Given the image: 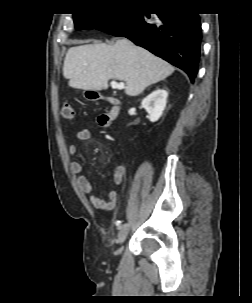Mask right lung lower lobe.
Instances as JSON below:
<instances>
[{"label": "right lung lower lobe", "instance_id": "right-lung-lower-lobe-1", "mask_svg": "<svg viewBox=\"0 0 252 303\" xmlns=\"http://www.w3.org/2000/svg\"><path fill=\"white\" fill-rule=\"evenodd\" d=\"M99 30L130 39L185 71L191 81L197 75L201 46L198 14L176 9L164 10L156 16L134 12Z\"/></svg>", "mask_w": 252, "mask_h": 303}]
</instances>
